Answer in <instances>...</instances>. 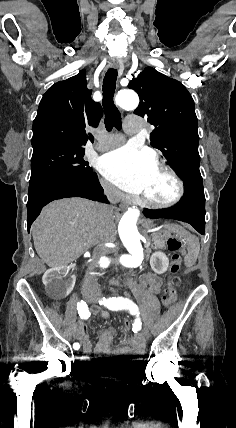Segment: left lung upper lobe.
I'll return each mask as SVG.
<instances>
[{
	"label": "left lung upper lobe",
	"instance_id": "1",
	"mask_svg": "<svg viewBox=\"0 0 236 428\" xmlns=\"http://www.w3.org/2000/svg\"><path fill=\"white\" fill-rule=\"evenodd\" d=\"M128 88L140 97L134 113L147 116V121L155 126L150 134L151 146L163 153L183 182L202 181L197 117L193 98L185 86L146 67Z\"/></svg>",
	"mask_w": 236,
	"mask_h": 428
}]
</instances>
